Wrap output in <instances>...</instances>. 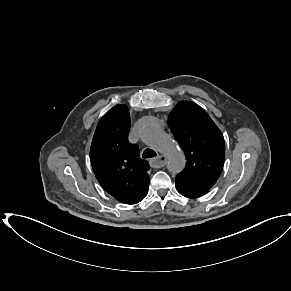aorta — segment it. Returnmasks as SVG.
<instances>
[{
	"mask_svg": "<svg viewBox=\"0 0 291 291\" xmlns=\"http://www.w3.org/2000/svg\"><path fill=\"white\" fill-rule=\"evenodd\" d=\"M142 140L168 158V168L172 172L181 171L186 164L184 153L171 136L156 125L146 126L141 133Z\"/></svg>",
	"mask_w": 291,
	"mask_h": 291,
	"instance_id": "obj_1",
	"label": "aorta"
}]
</instances>
